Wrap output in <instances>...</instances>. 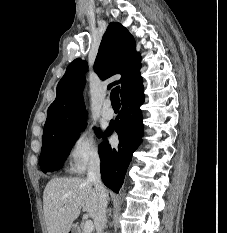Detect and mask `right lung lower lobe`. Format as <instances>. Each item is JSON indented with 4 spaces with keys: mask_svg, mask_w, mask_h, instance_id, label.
<instances>
[{
    "mask_svg": "<svg viewBox=\"0 0 227 233\" xmlns=\"http://www.w3.org/2000/svg\"><path fill=\"white\" fill-rule=\"evenodd\" d=\"M143 92L142 86L121 99L122 111L116 118L115 125L109 126L104 133L103 139H106L116 131L119 136L118 147L111 148L108 141H105L99 148L102 180L116 193L123 184L132 154L142 141L143 123L140 105L144 102Z\"/></svg>",
    "mask_w": 227,
    "mask_h": 233,
    "instance_id": "1",
    "label": "right lung lower lobe"
}]
</instances>
